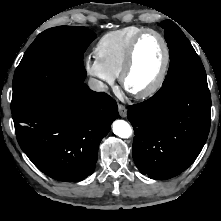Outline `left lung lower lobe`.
Segmentation results:
<instances>
[{"label": "left lung lower lobe", "instance_id": "left-lung-lower-lobe-1", "mask_svg": "<svg viewBox=\"0 0 221 221\" xmlns=\"http://www.w3.org/2000/svg\"><path fill=\"white\" fill-rule=\"evenodd\" d=\"M128 109L135 134L133 159L152 179L166 180L186 170L207 140L211 121L207 84L175 80Z\"/></svg>", "mask_w": 221, "mask_h": 221}]
</instances>
